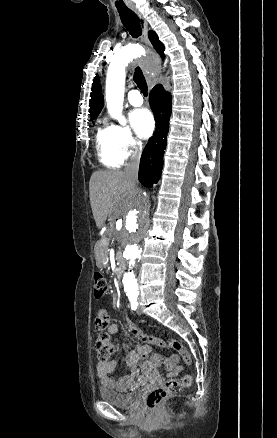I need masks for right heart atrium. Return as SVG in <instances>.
Here are the masks:
<instances>
[{
    "instance_id": "obj_1",
    "label": "right heart atrium",
    "mask_w": 277,
    "mask_h": 438,
    "mask_svg": "<svg viewBox=\"0 0 277 438\" xmlns=\"http://www.w3.org/2000/svg\"><path fill=\"white\" fill-rule=\"evenodd\" d=\"M116 147L123 159L136 155L141 149V143L131 130L124 126H114Z\"/></svg>"
}]
</instances>
